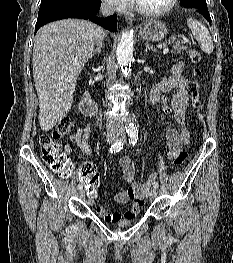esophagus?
<instances>
[{
  "instance_id": "34e87169",
  "label": "esophagus",
  "mask_w": 233,
  "mask_h": 263,
  "mask_svg": "<svg viewBox=\"0 0 233 263\" xmlns=\"http://www.w3.org/2000/svg\"><path fill=\"white\" fill-rule=\"evenodd\" d=\"M125 20H126L127 24H132L133 23V18L130 17V16H126Z\"/></svg>"
}]
</instances>
